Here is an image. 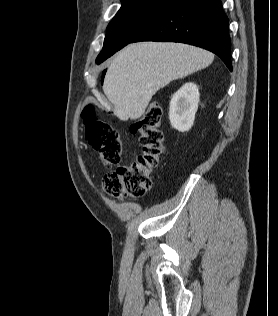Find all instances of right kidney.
<instances>
[{"mask_svg": "<svg viewBox=\"0 0 278 316\" xmlns=\"http://www.w3.org/2000/svg\"><path fill=\"white\" fill-rule=\"evenodd\" d=\"M198 86L194 83L184 84L172 97L169 108L171 126L180 132L191 129L199 103Z\"/></svg>", "mask_w": 278, "mask_h": 316, "instance_id": "obj_1", "label": "right kidney"}]
</instances>
